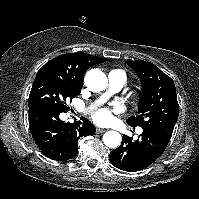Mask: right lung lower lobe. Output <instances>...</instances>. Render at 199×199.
Returning a JSON list of instances; mask_svg holds the SVG:
<instances>
[{"label":"right lung lower lobe","mask_w":199,"mask_h":199,"mask_svg":"<svg viewBox=\"0 0 199 199\" xmlns=\"http://www.w3.org/2000/svg\"><path fill=\"white\" fill-rule=\"evenodd\" d=\"M60 113L48 103H37L29 106V123L41 152L52 160L66 161L77 155L79 138L93 135L95 126L86 118L73 124L63 122Z\"/></svg>","instance_id":"1"}]
</instances>
